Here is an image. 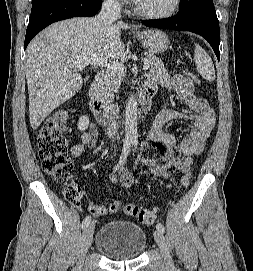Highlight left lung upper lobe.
Masks as SVG:
<instances>
[{
	"label": "left lung upper lobe",
	"mask_w": 253,
	"mask_h": 271,
	"mask_svg": "<svg viewBox=\"0 0 253 271\" xmlns=\"http://www.w3.org/2000/svg\"><path fill=\"white\" fill-rule=\"evenodd\" d=\"M207 1L211 0H182L179 13L187 15L195 10L202 8L204 3Z\"/></svg>",
	"instance_id": "obj_1"
}]
</instances>
